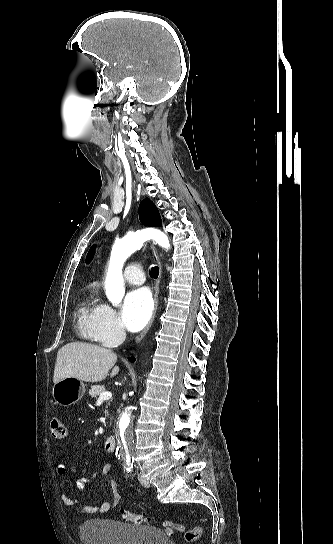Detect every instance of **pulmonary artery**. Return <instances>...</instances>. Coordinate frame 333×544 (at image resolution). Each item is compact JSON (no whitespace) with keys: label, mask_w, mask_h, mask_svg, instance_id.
<instances>
[{"label":"pulmonary artery","mask_w":333,"mask_h":544,"mask_svg":"<svg viewBox=\"0 0 333 544\" xmlns=\"http://www.w3.org/2000/svg\"><path fill=\"white\" fill-rule=\"evenodd\" d=\"M124 279L133 285H141L145 281L142 268L138 264H130L124 271Z\"/></svg>","instance_id":"pulmonary-artery-1"}]
</instances>
